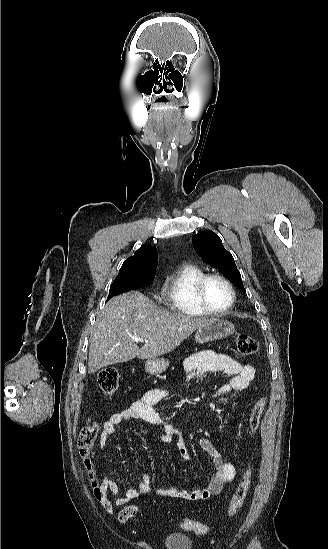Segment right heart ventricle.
Wrapping results in <instances>:
<instances>
[{
    "label": "right heart ventricle",
    "mask_w": 328,
    "mask_h": 549,
    "mask_svg": "<svg viewBox=\"0 0 328 549\" xmlns=\"http://www.w3.org/2000/svg\"><path fill=\"white\" fill-rule=\"evenodd\" d=\"M205 274V267L200 263L178 267L166 277L155 296L156 303H174V310H179L180 319H206L207 316L195 310V305H198L196 285Z\"/></svg>",
    "instance_id": "right-heart-ventricle-1"
}]
</instances>
